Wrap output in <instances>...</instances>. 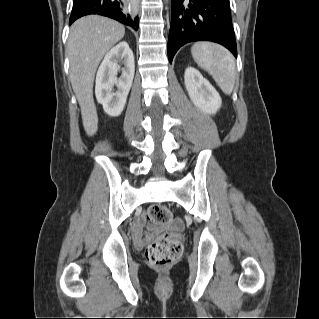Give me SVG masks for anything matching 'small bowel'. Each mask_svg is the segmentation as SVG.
I'll list each match as a JSON object with an SVG mask.
<instances>
[{
    "instance_id": "1",
    "label": "small bowel",
    "mask_w": 319,
    "mask_h": 319,
    "mask_svg": "<svg viewBox=\"0 0 319 319\" xmlns=\"http://www.w3.org/2000/svg\"><path fill=\"white\" fill-rule=\"evenodd\" d=\"M171 229L174 231H180L182 226L178 220L173 222ZM149 231L147 238H152L159 230V226H153L148 223L145 217H140L132 226V234L135 239L140 240L143 238V232Z\"/></svg>"
}]
</instances>
